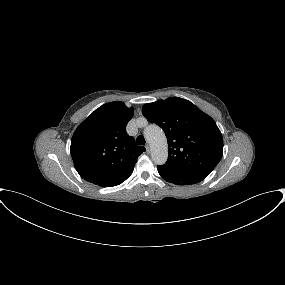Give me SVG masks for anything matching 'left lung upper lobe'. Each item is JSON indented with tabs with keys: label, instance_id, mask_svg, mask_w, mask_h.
<instances>
[{
	"label": "left lung upper lobe",
	"instance_id": "obj_1",
	"mask_svg": "<svg viewBox=\"0 0 285 285\" xmlns=\"http://www.w3.org/2000/svg\"><path fill=\"white\" fill-rule=\"evenodd\" d=\"M142 113L163 128L168 160L163 172L206 178L223 154V138L214 120L186 99L171 97L145 104Z\"/></svg>",
	"mask_w": 285,
	"mask_h": 285
}]
</instances>
